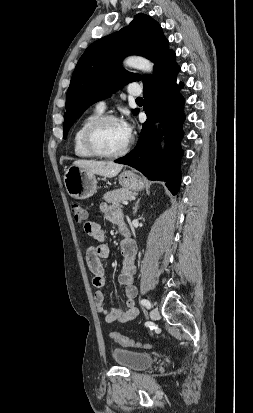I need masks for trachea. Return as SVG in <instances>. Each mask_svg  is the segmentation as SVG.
<instances>
[{"label": "trachea", "mask_w": 253, "mask_h": 413, "mask_svg": "<svg viewBox=\"0 0 253 413\" xmlns=\"http://www.w3.org/2000/svg\"><path fill=\"white\" fill-rule=\"evenodd\" d=\"M136 101H137V102H143V98H142V97H138V98L136 99Z\"/></svg>", "instance_id": "trachea-1"}]
</instances>
